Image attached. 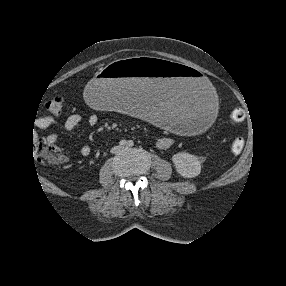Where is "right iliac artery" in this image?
<instances>
[{
	"mask_svg": "<svg viewBox=\"0 0 286 286\" xmlns=\"http://www.w3.org/2000/svg\"><path fill=\"white\" fill-rule=\"evenodd\" d=\"M119 144H120L121 147H124V146L127 145V141H126V140H121V141L119 142Z\"/></svg>",
	"mask_w": 286,
	"mask_h": 286,
	"instance_id": "82829eb1",
	"label": "right iliac artery"
}]
</instances>
